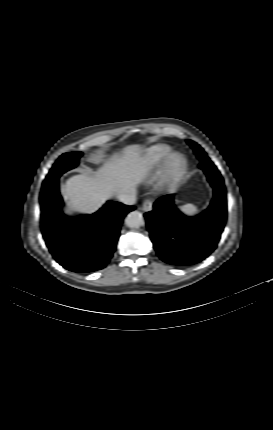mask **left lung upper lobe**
Wrapping results in <instances>:
<instances>
[{"instance_id":"1","label":"left lung upper lobe","mask_w":273,"mask_h":430,"mask_svg":"<svg viewBox=\"0 0 273 430\" xmlns=\"http://www.w3.org/2000/svg\"><path fill=\"white\" fill-rule=\"evenodd\" d=\"M187 143L192 147L200 161H205L209 159L205 151L196 142L188 139Z\"/></svg>"}]
</instances>
